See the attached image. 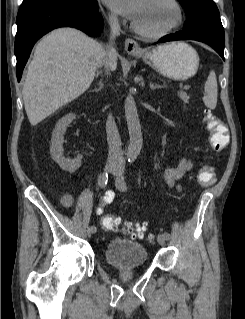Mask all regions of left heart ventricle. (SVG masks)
Here are the masks:
<instances>
[{"label": "left heart ventricle", "mask_w": 245, "mask_h": 319, "mask_svg": "<svg viewBox=\"0 0 245 319\" xmlns=\"http://www.w3.org/2000/svg\"><path fill=\"white\" fill-rule=\"evenodd\" d=\"M175 18V9L168 0H145L134 21L144 29L159 30L172 24Z\"/></svg>", "instance_id": "1"}]
</instances>
